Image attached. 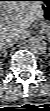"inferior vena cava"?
<instances>
[{
	"mask_svg": "<svg viewBox=\"0 0 50 111\" xmlns=\"http://www.w3.org/2000/svg\"><path fill=\"white\" fill-rule=\"evenodd\" d=\"M20 38L17 36H7L3 39L1 48H5L6 46H12L14 44H16V42L19 40Z\"/></svg>",
	"mask_w": 50,
	"mask_h": 111,
	"instance_id": "inferior-vena-cava-1",
	"label": "inferior vena cava"
}]
</instances>
